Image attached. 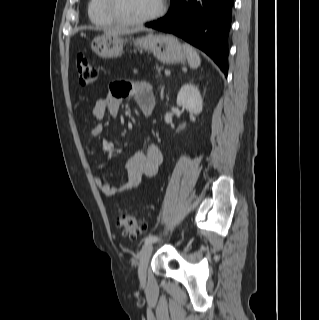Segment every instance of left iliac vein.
Wrapping results in <instances>:
<instances>
[{
	"label": "left iliac vein",
	"instance_id": "left-iliac-vein-1",
	"mask_svg": "<svg viewBox=\"0 0 319 320\" xmlns=\"http://www.w3.org/2000/svg\"><path fill=\"white\" fill-rule=\"evenodd\" d=\"M152 249V243L145 244L138 254V276L142 282L146 279V271L152 254Z\"/></svg>",
	"mask_w": 319,
	"mask_h": 320
}]
</instances>
